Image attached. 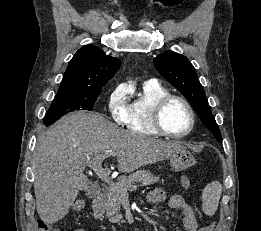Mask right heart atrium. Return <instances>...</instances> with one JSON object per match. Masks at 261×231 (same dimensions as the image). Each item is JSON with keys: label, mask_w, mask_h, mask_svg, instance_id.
Returning <instances> with one entry per match:
<instances>
[{"label": "right heart atrium", "mask_w": 261, "mask_h": 231, "mask_svg": "<svg viewBox=\"0 0 261 231\" xmlns=\"http://www.w3.org/2000/svg\"><path fill=\"white\" fill-rule=\"evenodd\" d=\"M126 89L118 86L108 96L107 109L112 120L117 124H124L127 115Z\"/></svg>", "instance_id": "d8ad5b80"}]
</instances>
